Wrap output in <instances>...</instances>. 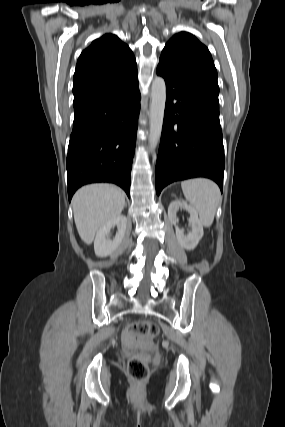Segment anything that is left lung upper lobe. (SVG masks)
Listing matches in <instances>:
<instances>
[{"instance_id":"obj_1","label":"left lung upper lobe","mask_w":285,"mask_h":427,"mask_svg":"<svg viewBox=\"0 0 285 427\" xmlns=\"http://www.w3.org/2000/svg\"><path fill=\"white\" fill-rule=\"evenodd\" d=\"M172 72L219 94L217 71L206 46L190 33L180 32L165 45L160 60Z\"/></svg>"}]
</instances>
